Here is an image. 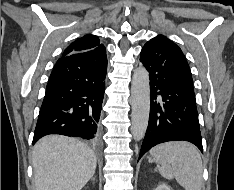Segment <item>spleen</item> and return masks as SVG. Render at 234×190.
<instances>
[{
    "label": "spleen",
    "mask_w": 234,
    "mask_h": 190,
    "mask_svg": "<svg viewBox=\"0 0 234 190\" xmlns=\"http://www.w3.org/2000/svg\"><path fill=\"white\" fill-rule=\"evenodd\" d=\"M158 171L166 179L175 178L185 190H201L203 165L198 149L186 141L167 142L150 151Z\"/></svg>",
    "instance_id": "3e777b00"
}]
</instances>
